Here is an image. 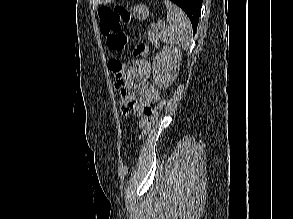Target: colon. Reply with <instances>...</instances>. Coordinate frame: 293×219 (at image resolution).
Wrapping results in <instances>:
<instances>
[{
  "mask_svg": "<svg viewBox=\"0 0 293 219\" xmlns=\"http://www.w3.org/2000/svg\"><path fill=\"white\" fill-rule=\"evenodd\" d=\"M98 16L100 30L106 37L108 47L114 51H122L126 46L127 38L121 31V25L123 22L128 21V11L123 6H116L114 8L101 7L98 10ZM144 54V46L138 45L134 48L135 56H143ZM108 68L115 78V83L119 85L123 76V64L118 59L113 58L109 60ZM164 104L165 101H162L151 110V121L139 134V140H141L149 132L152 124L158 119Z\"/></svg>",
  "mask_w": 293,
  "mask_h": 219,
  "instance_id": "colon-1",
  "label": "colon"
}]
</instances>
